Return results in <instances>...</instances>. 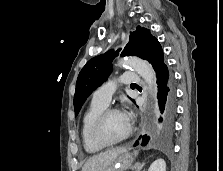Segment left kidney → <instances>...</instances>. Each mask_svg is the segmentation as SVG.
<instances>
[{"instance_id": "5707ae66", "label": "left kidney", "mask_w": 223, "mask_h": 171, "mask_svg": "<svg viewBox=\"0 0 223 171\" xmlns=\"http://www.w3.org/2000/svg\"><path fill=\"white\" fill-rule=\"evenodd\" d=\"M148 171H166L165 161L161 158L155 160L149 167Z\"/></svg>"}]
</instances>
